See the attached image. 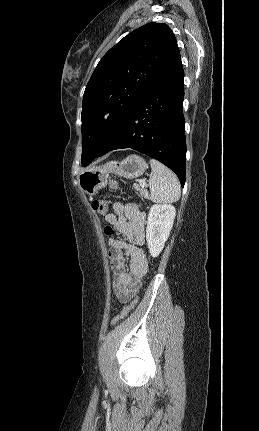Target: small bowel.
Returning <instances> with one entry per match:
<instances>
[{
    "label": "small bowel",
    "instance_id": "small-bowel-1",
    "mask_svg": "<svg viewBox=\"0 0 259 431\" xmlns=\"http://www.w3.org/2000/svg\"><path fill=\"white\" fill-rule=\"evenodd\" d=\"M146 215L133 204H113L105 214L107 223L113 225L126 240L111 238L108 241L109 258L113 270L112 288L117 299L128 302L137 292L140 280L148 269L142 245L145 241Z\"/></svg>",
    "mask_w": 259,
    "mask_h": 431
}]
</instances>
